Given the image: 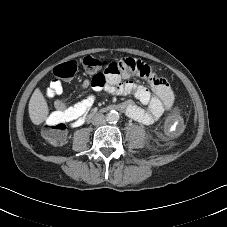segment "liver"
Instances as JSON below:
<instances>
[{
	"label": "liver",
	"mask_w": 227,
	"mask_h": 227,
	"mask_svg": "<svg viewBox=\"0 0 227 227\" xmlns=\"http://www.w3.org/2000/svg\"><path fill=\"white\" fill-rule=\"evenodd\" d=\"M29 116L35 125L41 124L48 116L49 109L42 92L36 88L29 101Z\"/></svg>",
	"instance_id": "obj_1"
}]
</instances>
